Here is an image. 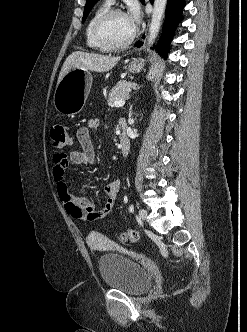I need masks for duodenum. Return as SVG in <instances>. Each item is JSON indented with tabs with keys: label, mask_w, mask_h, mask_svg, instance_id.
<instances>
[{
	"label": "duodenum",
	"mask_w": 247,
	"mask_h": 332,
	"mask_svg": "<svg viewBox=\"0 0 247 332\" xmlns=\"http://www.w3.org/2000/svg\"><path fill=\"white\" fill-rule=\"evenodd\" d=\"M120 125L123 129V133L121 135V140H120V152L123 156H126L130 150V139L126 133V123L123 119L120 120Z\"/></svg>",
	"instance_id": "duodenum-1"
}]
</instances>
